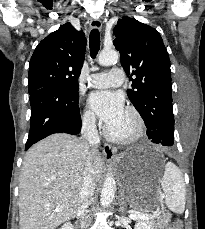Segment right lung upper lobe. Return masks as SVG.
I'll list each match as a JSON object with an SVG mask.
<instances>
[{
    "mask_svg": "<svg viewBox=\"0 0 205 229\" xmlns=\"http://www.w3.org/2000/svg\"><path fill=\"white\" fill-rule=\"evenodd\" d=\"M86 38L66 23L43 39L36 47L29 65L28 91L48 86L78 84L85 57Z\"/></svg>",
    "mask_w": 205,
    "mask_h": 229,
    "instance_id": "obj_1",
    "label": "right lung upper lobe"
}]
</instances>
